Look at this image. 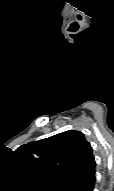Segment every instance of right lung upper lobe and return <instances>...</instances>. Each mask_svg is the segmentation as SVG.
Masks as SVG:
<instances>
[{"mask_svg": "<svg viewBox=\"0 0 114 191\" xmlns=\"http://www.w3.org/2000/svg\"><path fill=\"white\" fill-rule=\"evenodd\" d=\"M16 155L45 188H58L95 171L92 147L83 133L76 130L24 144L16 150Z\"/></svg>", "mask_w": 114, "mask_h": 191, "instance_id": "1", "label": "right lung upper lobe"}]
</instances>
